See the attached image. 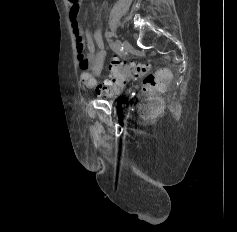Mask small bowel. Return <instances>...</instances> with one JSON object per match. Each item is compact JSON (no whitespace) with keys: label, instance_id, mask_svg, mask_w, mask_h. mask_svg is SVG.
<instances>
[{"label":"small bowel","instance_id":"small-bowel-1","mask_svg":"<svg viewBox=\"0 0 237 232\" xmlns=\"http://www.w3.org/2000/svg\"><path fill=\"white\" fill-rule=\"evenodd\" d=\"M69 1L70 21L75 37L79 68L83 71H90L95 76H99L103 71L106 56L102 33L99 29H96L92 35L84 32L79 22L81 0ZM89 87H95L98 94H104L108 97L119 92L112 89H105L97 85L95 80Z\"/></svg>","mask_w":237,"mask_h":232}]
</instances>
